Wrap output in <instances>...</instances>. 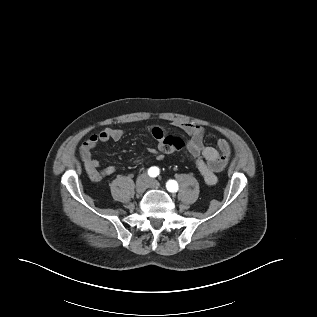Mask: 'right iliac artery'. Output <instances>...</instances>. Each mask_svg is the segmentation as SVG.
Here are the masks:
<instances>
[{
  "label": "right iliac artery",
  "mask_w": 317,
  "mask_h": 317,
  "mask_svg": "<svg viewBox=\"0 0 317 317\" xmlns=\"http://www.w3.org/2000/svg\"><path fill=\"white\" fill-rule=\"evenodd\" d=\"M148 175L150 177H156L157 175H159V169L157 167H150L148 169Z\"/></svg>",
  "instance_id": "1"
}]
</instances>
